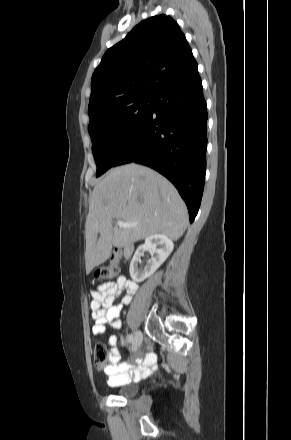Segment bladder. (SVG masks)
I'll return each instance as SVG.
<instances>
[{
    "label": "bladder",
    "instance_id": "31cf9c89",
    "mask_svg": "<svg viewBox=\"0 0 291 440\" xmlns=\"http://www.w3.org/2000/svg\"><path fill=\"white\" fill-rule=\"evenodd\" d=\"M137 389L135 384L133 383H126L122 386H120L118 393L123 398H129L136 395Z\"/></svg>",
    "mask_w": 291,
    "mask_h": 440
}]
</instances>
